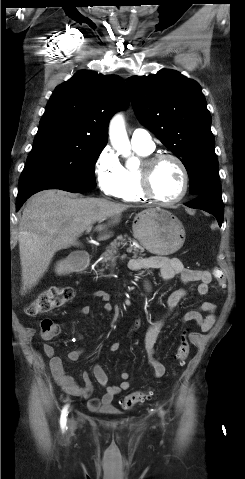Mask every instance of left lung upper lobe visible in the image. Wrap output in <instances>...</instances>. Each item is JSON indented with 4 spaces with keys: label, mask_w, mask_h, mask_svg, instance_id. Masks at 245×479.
Instances as JSON below:
<instances>
[{
    "label": "left lung upper lobe",
    "mask_w": 245,
    "mask_h": 479,
    "mask_svg": "<svg viewBox=\"0 0 245 479\" xmlns=\"http://www.w3.org/2000/svg\"><path fill=\"white\" fill-rule=\"evenodd\" d=\"M127 84L139 121L184 164L190 193L219 184L211 116L200 85L170 69L132 76Z\"/></svg>",
    "instance_id": "obj_1"
}]
</instances>
